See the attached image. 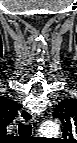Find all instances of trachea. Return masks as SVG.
<instances>
[{"label":"trachea","instance_id":"trachea-1","mask_svg":"<svg viewBox=\"0 0 77 143\" xmlns=\"http://www.w3.org/2000/svg\"><path fill=\"white\" fill-rule=\"evenodd\" d=\"M19 135L23 137L30 136L32 133V126L20 123L18 126Z\"/></svg>","mask_w":77,"mask_h":143}]
</instances>
